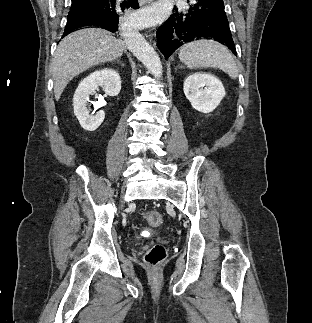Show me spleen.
I'll list each match as a JSON object with an SVG mask.
<instances>
[{
	"label": "spleen",
	"mask_w": 312,
	"mask_h": 323,
	"mask_svg": "<svg viewBox=\"0 0 312 323\" xmlns=\"http://www.w3.org/2000/svg\"><path fill=\"white\" fill-rule=\"evenodd\" d=\"M179 60L190 70L196 68H219L230 78H238V68L233 56L225 46L214 40H195L184 44L179 52Z\"/></svg>",
	"instance_id": "spleen-1"
}]
</instances>
